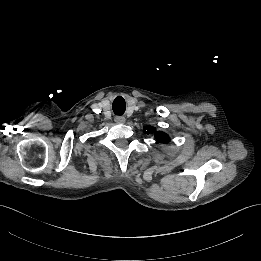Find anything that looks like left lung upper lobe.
<instances>
[{"label":"left lung upper lobe","instance_id":"1","mask_svg":"<svg viewBox=\"0 0 261 261\" xmlns=\"http://www.w3.org/2000/svg\"><path fill=\"white\" fill-rule=\"evenodd\" d=\"M144 132L146 134H155V138L157 139L158 142H161V143H167L170 141V138L169 136L162 132V131H156V129L152 126H146L145 129H144Z\"/></svg>","mask_w":261,"mask_h":261}]
</instances>
